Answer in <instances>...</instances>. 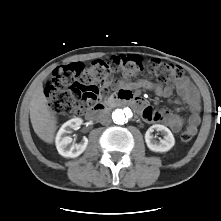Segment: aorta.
<instances>
[{
  "label": "aorta",
  "instance_id": "762f6f07",
  "mask_svg": "<svg viewBox=\"0 0 221 221\" xmlns=\"http://www.w3.org/2000/svg\"><path fill=\"white\" fill-rule=\"evenodd\" d=\"M132 111L129 108L118 109L112 113V119L116 124L122 125L132 117Z\"/></svg>",
  "mask_w": 221,
  "mask_h": 221
}]
</instances>
